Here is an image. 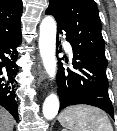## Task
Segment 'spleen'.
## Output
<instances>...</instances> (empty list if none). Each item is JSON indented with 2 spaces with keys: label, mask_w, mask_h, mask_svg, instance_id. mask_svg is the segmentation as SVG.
Listing matches in <instances>:
<instances>
[{
  "label": "spleen",
  "mask_w": 117,
  "mask_h": 131,
  "mask_svg": "<svg viewBox=\"0 0 117 131\" xmlns=\"http://www.w3.org/2000/svg\"><path fill=\"white\" fill-rule=\"evenodd\" d=\"M59 123L70 131H113L105 112L88 105L66 108L58 117Z\"/></svg>",
  "instance_id": "spleen-1"
}]
</instances>
